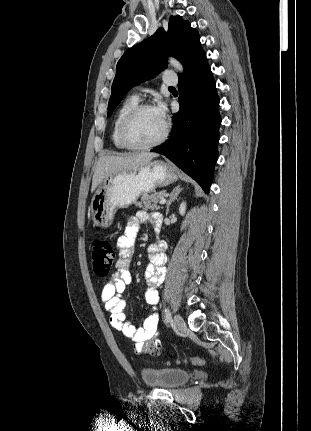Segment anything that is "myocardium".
<instances>
[{
    "label": "myocardium",
    "instance_id": "f54148a6",
    "mask_svg": "<svg viewBox=\"0 0 311 431\" xmlns=\"http://www.w3.org/2000/svg\"><path fill=\"white\" fill-rule=\"evenodd\" d=\"M152 108L150 104L147 103H139L135 106L127 115L123 118L121 126H120V136L126 147L133 150H146L160 145L168 136L169 126L165 122L163 133L156 138L155 140L139 144L132 140L130 136V129L134 121L147 109Z\"/></svg>",
    "mask_w": 311,
    "mask_h": 431
}]
</instances>
